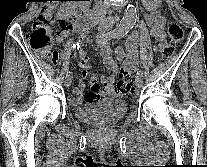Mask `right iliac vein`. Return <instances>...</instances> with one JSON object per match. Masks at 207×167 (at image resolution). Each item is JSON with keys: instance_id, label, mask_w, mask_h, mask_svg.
I'll list each match as a JSON object with an SVG mask.
<instances>
[{"instance_id": "obj_1", "label": "right iliac vein", "mask_w": 207, "mask_h": 167, "mask_svg": "<svg viewBox=\"0 0 207 167\" xmlns=\"http://www.w3.org/2000/svg\"><path fill=\"white\" fill-rule=\"evenodd\" d=\"M70 85H71V77H67V79L65 80V86L70 87Z\"/></svg>"}]
</instances>
